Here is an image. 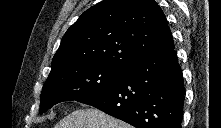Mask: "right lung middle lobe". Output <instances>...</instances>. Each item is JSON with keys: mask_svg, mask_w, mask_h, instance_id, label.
Segmentation results:
<instances>
[{"mask_svg": "<svg viewBox=\"0 0 221 128\" xmlns=\"http://www.w3.org/2000/svg\"><path fill=\"white\" fill-rule=\"evenodd\" d=\"M126 71L98 64L57 69L49 74L44 84L39 113L57 103L80 101L96 94L121 79Z\"/></svg>", "mask_w": 221, "mask_h": 128, "instance_id": "1", "label": "right lung middle lobe"}]
</instances>
